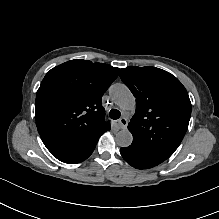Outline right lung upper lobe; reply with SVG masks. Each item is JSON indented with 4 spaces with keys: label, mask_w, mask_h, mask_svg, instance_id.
<instances>
[{
    "label": "right lung upper lobe",
    "mask_w": 219,
    "mask_h": 219,
    "mask_svg": "<svg viewBox=\"0 0 219 219\" xmlns=\"http://www.w3.org/2000/svg\"><path fill=\"white\" fill-rule=\"evenodd\" d=\"M119 68L75 59L51 69L36 94V125L48 150L94 144L110 129L102 96Z\"/></svg>",
    "instance_id": "obj_1"
}]
</instances>
